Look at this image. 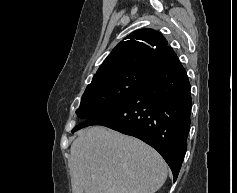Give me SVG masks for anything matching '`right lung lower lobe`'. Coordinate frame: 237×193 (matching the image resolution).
I'll list each match as a JSON object with an SVG mask.
<instances>
[{
	"instance_id": "98d812e1",
	"label": "right lung lower lobe",
	"mask_w": 237,
	"mask_h": 193,
	"mask_svg": "<svg viewBox=\"0 0 237 193\" xmlns=\"http://www.w3.org/2000/svg\"><path fill=\"white\" fill-rule=\"evenodd\" d=\"M191 104L188 76L172 51L155 61L125 102L85 120L73 131L102 125L139 138L161 154L175 181L186 153Z\"/></svg>"
}]
</instances>
